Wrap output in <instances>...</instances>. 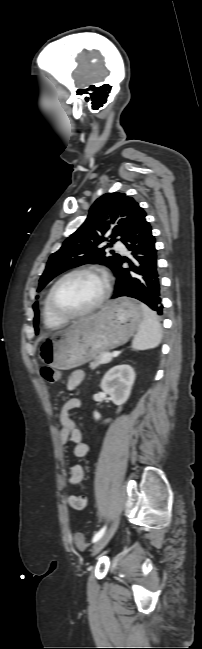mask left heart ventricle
<instances>
[{
    "mask_svg": "<svg viewBox=\"0 0 202 649\" xmlns=\"http://www.w3.org/2000/svg\"><path fill=\"white\" fill-rule=\"evenodd\" d=\"M104 283L94 274H76L65 279L56 289L58 305L69 312L84 310L101 296Z\"/></svg>",
    "mask_w": 202,
    "mask_h": 649,
    "instance_id": "1",
    "label": "left heart ventricle"
}]
</instances>
